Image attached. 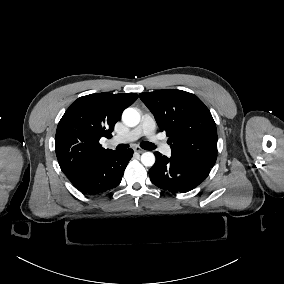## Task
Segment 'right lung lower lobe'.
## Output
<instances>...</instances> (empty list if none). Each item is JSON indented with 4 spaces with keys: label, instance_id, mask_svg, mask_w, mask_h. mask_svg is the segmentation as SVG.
<instances>
[{
    "label": "right lung lower lobe",
    "instance_id": "98d812e1",
    "mask_svg": "<svg viewBox=\"0 0 284 284\" xmlns=\"http://www.w3.org/2000/svg\"><path fill=\"white\" fill-rule=\"evenodd\" d=\"M132 154L131 149L125 151L115 150L82 176L71 182L77 189L89 195H98L113 189L120 184Z\"/></svg>",
    "mask_w": 284,
    "mask_h": 284
}]
</instances>
